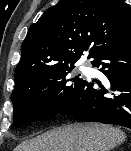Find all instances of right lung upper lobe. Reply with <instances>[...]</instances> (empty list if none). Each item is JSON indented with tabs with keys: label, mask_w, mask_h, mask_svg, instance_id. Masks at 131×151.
<instances>
[{
	"label": "right lung upper lobe",
	"mask_w": 131,
	"mask_h": 151,
	"mask_svg": "<svg viewBox=\"0 0 131 151\" xmlns=\"http://www.w3.org/2000/svg\"><path fill=\"white\" fill-rule=\"evenodd\" d=\"M131 33V11L123 0H60L30 26L15 70V88L88 58Z\"/></svg>",
	"instance_id": "cb5924a9"
}]
</instances>
